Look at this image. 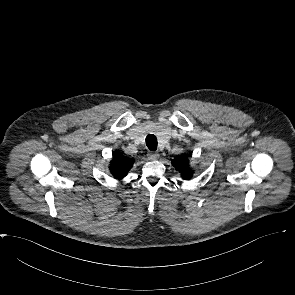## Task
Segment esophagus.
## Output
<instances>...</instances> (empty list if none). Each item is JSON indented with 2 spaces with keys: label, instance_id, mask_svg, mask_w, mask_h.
Instances as JSON below:
<instances>
[{
  "label": "esophagus",
  "instance_id": "34e87169",
  "mask_svg": "<svg viewBox=\"0 0 295 295\" xmlns=\"http://www.w3.org/2000/svg\"><path fill=\"white\" fill-rule=\"evenodd\" d=\"M147 157H148L149 160H156V159L159 158V153L158 152H155V151L149 152L147 154Z\"/></svg>",
  "mask_w": 295,
  "mask_h": 295
}]
</instances>
